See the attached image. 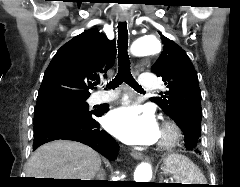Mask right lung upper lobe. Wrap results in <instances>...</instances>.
<instances>
[{"label": "right lung upper lobe", "instance_id": "cb5924a9", "mask_svg": "<svg viewBox=\"0 0 240 187\" xmlns=\"http://www.w3.org/2000/svg\"><path fill=\"white\" fill-rule=\"evenodd\" d=\"M116 58L115 41L97 29L86 30L64 44L48 65L36 106L60 99L90 96L100 73H106Z\"/></svg>", "mask_w": 240, "mask_h": 187}]
</instances>
